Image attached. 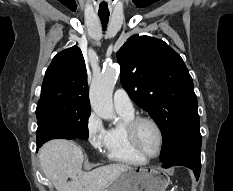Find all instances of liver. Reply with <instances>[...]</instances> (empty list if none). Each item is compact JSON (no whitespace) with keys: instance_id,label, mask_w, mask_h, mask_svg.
<instances>
[{"instance_id":"obj_1","label":"liver","mask_w":233,"mask_h":191,"mask_svg":"<svg viewBox=\"0 0 233 191\" xmlns=\"http://www.w3.org/2000/svg\"><path fill=\"white\" fill-rule=\"evenodd\" d=\"M39 160L56 191H101L130 167L116 163L85 172L82 170V148L64 139L45 143L39 151Z\"/></svg>"}]
</instances>
